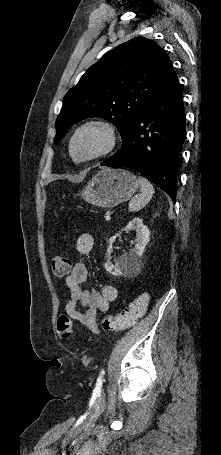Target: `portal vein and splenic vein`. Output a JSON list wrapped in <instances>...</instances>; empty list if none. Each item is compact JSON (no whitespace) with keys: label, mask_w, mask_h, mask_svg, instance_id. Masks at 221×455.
<instances>
[{"label":"portal vein and splenic vein","mask_w":221,"mask_h":455,"mask_svg":"<svg viewBox=\"0 0 221 455\" xmlns=\"http://www.w3.org/2000/svg\"><path fill=\"white\" fill-rule=\"evenodd\" d=\"M111 219V214L110 213H107L106 216H105V220L106 221H109Z\"/></svg>","instance_id":"obj_1"}]
</instances>
